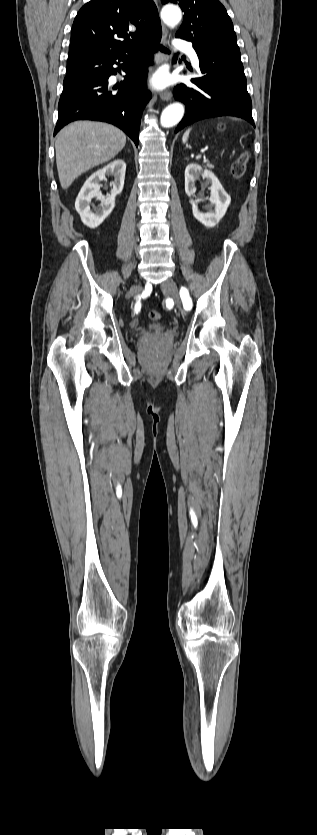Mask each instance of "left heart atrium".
<instances>
[{
	"instance_id": "obj_1",
	"label": "left heart atrium",
	"mask_w": 317,
	"mask_h": 835,
	"mask_svg": "<svg viewBox=\"0 0 317 835\" xmlns=\"http://www.w3.org/2000/svg\"><path fill=\"white\" fill-rule=\"evenodd\" d=\"M153 83H154V85H156L157 87H162V86H164V85H165L166 81H165V78H164V76H163V75L158 74V75H156V76L153 78Z\"/></svg>"
}]
</instances>
